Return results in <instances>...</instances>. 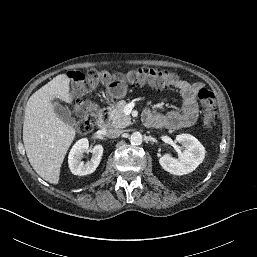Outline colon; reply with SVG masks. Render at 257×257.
Masks as SVG:
<instances>
[{"label":"colon","instance_id":"5ec220e1","mask_svg":"<svg viewBox=\"0 0 257 257\" xmlns=\"http://www.w3.org/2000/svg\"><path fill=\"white\" fill-rule=\"evenodd\" d=\"M68 76L71 81V93L76 99L91 93L99 84L127 82L132 85L162 88L179 81V75L174 72L147 67L130 70L125 74L91 69L87 72H70ZM198 97L203 112V126L207 131H211L216 118L215 96L210 90L201 88L198 91ZM74 111L80 118L77 131L82 134L89 132L97 121L99 114L97 105L89 101L77 100Z\"/></svg>","mask_w":257,"mask_h":257}]
</instances>
